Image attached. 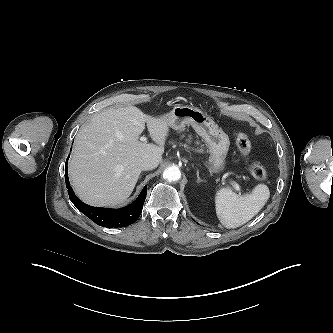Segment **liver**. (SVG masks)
Returning <instances> with one entry per match:
<instances>
[{
  "mask_svg": "<svg viewBox=\"0 0 333 333\" xmlns=\"http://www.w3.org/2000/svg\"><path fill=\"white\" fill-rule=\"evenodd\" d=\"M145 122L156 144H145L139 136ZM163 116H147L128 105L92 115L78 132L69 177L78 197L93 206H116L131 195L146 157H162L169 132Z\"/></svg>",
  "mask_w": 333,
  "mask_h": 333,
  "instance_id": "obj_1",
  "label": "liver"
}]
</instances>
